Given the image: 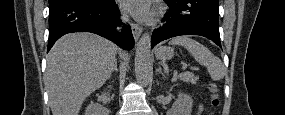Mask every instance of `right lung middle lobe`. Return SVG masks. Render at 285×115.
Segmentation results:
<instances>
[{
  "instance_id": "obj_1",
  "label": "right lung middle lobe",
  "mask_w": 285,
  "mask_h": 115,
  "mask_svg": "<svg viewBox=\"0 0 285 115\" xmlns=\"http://www.w3.org/2000/svg\"><path fill=\"white\" fill-rule=\"evenodd\" d=\"M59 1H61V0H49V6L55 4V3L59 2ZM88 1H90V2H95V3H101V2H103L104 0H88Z\"/></svg>"
}]
</instances>
